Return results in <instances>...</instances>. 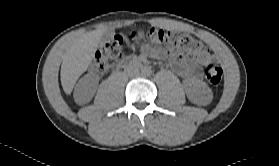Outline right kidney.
Wrapping results in <instances>:
<instances>
[{"label": "right kidney", "instance_id": "ca27d5eb", "mask_svg": "<svg viewBox=\"0 0 279 166\" xmlns=\"http://www.w3.org/2000/svg\"><path fill=\"white\" fill-rule=\"evenodd\" d=\"M98 81L92 76H85L77 83L74 97L79 104L88 102L95 94Z\"/></svg>", "mask_w": 279, "mask_h": 166}]
</instances>
